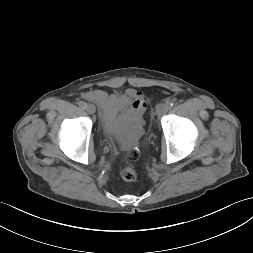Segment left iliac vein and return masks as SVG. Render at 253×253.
Instances as JSON below:
<instances>
[{"instance_id": "4c4485c4", "label": "left iliac vein", "mask_w": 253, "mask_h": 253, "mask_svg": "<svg viewBox=\"0 0 253 253\" xmlns=\"http://www.w3.org/2000/svg\"><path fill=\"white\" fill-rule=\"evenodd\" d=\"M168 109H169V107L167 104H165V103L158 104L156 107V114L158 116H161V115L165 114L168 111Z\"/></svg>"}]
</instances>
